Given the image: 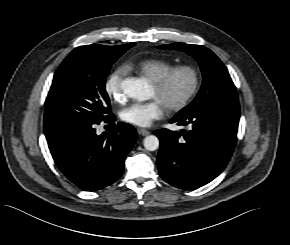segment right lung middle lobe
Instances as JSON below:
<instances>
[{"instance_id":"right-lung-middle-lobe-1","label":"right lung middle lobe","mask_w":290,"mask_h":245,"mask_svg":"<svg viewBox=\"0 0 290 245\" xmlns=\"http://www.w3.org/2000/svg\"><path fill=\"white\" fill-rule=\"evenodd\" d=\"M134 45L75 48L55 72L45 102L44 127L106 119L110 102L105 79L112 64Z\"/></svg>"}]
</instances>
